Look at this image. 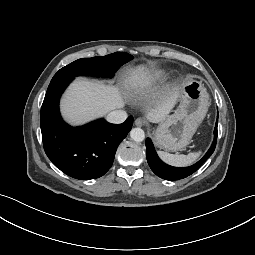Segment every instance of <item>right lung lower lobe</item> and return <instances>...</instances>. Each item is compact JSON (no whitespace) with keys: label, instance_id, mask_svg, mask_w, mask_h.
Listing matches in <instances>:
<instances>
[{"label":"right lung lower lobe","instance_id":"obj_1","mask_svg":"<svg viewBox=\"0 0 255 255\" xmlns=\"http://www.w3.org/2000/svg\"><path fill=\"white\" fill-rule=\"evenodd\" d=\"M74 78L50 83L40 113L44 150L51 162L70 177L96 179L112 166L120 142L132 128L133 117L122 124L98 119L81 127L66 124L59 112L61 94Z\"/></svg>","mask_w":255,"mask_h":255}]
</instances>
